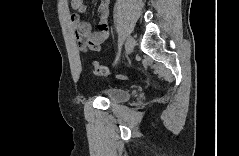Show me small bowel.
Returning a JSON list of instances; mask_svg holds the SVG:
<instances>
[{
  "instance_id": "1",
  "label": "small bowel",
  "mask_w": 239,
  "mask_h": 156,
  "mask_svg": "<svg viewBox=\"0 0 239 156\" xmlns=\"http://www.w3.org/2000/svg\"><path fill=\"white\" fill-rule=\"evenodd\" d=\"M73 13L70 16L74 28L75 39L81 50L100 51L101 45L109 39L108 18L111 10V2L104 0L98 7V29L94 31L89 22L82 19L81 14L85 10L83 0H72Z\"/></svg>"
}]
</instances>
